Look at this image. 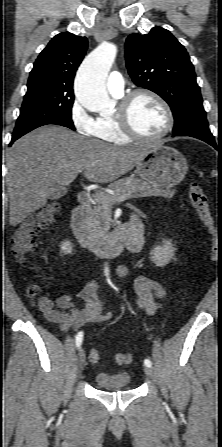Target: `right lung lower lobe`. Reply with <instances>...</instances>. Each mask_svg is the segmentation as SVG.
Masks as SVG:
<instances>
[{"label":"right lung lower lobe","mask_w":222,"mask_h":447,"mask_svg":"<svg viewBox=\"0 0 222 447\" xmlns=\"http://www.w3.org/2000/svg\"><path fill=\"white\" fill-rule=\"evenodd\" d=\"M18 138H16V137H12V140H11V143L9 144V145H12V143L15 141V140H17Z\"/></svg>","instance_id":"1"}]
</instances>
